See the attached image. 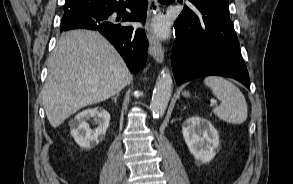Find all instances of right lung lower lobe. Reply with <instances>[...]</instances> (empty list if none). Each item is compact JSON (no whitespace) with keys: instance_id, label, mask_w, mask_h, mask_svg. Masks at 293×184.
Listing matches in <instances>:
<instances>
[{"instance_id":"1","label":"right lung lower lobe","mask_w":293,"mask_h":184,"mask_svg":"<svg viewBox=\"0 0 293 184\" xmlns=\"http://www.w3.org/2000/svg\"><path fill=\"white\" fill-rule=\"evenodd\" d=\"M146 10L147 0H95L65 12L61 31L74 28L98 30L118 50L130 71L136 73L145 66L148 41L143 30H135L121 22H144ZM114 13L122 20L115 19Z\"/></svg>"}]
</instances>
